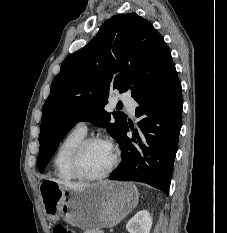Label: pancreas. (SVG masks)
I'll return each instance as SVG.
<instances>
[{"label": "pancreas", "instance_id": "cf45deb5", "mask_svg": "<svg viewBox=\"0 0 227 233\" xmlns=\"http://www.w3.org/2000/svg\"><path fill=\"white\" fill-rule=\"evenodd\" d=\"M85 233H102L101 231H86Z\"/></svg>", "mask_w": 227, "mask_h": 233}]
</instances>
